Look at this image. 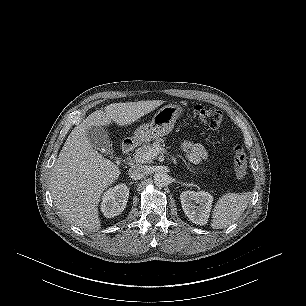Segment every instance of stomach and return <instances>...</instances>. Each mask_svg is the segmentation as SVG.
<instances>
[{
  "mask_svg": "<svg viewBox=\"0 0 306 306\" xmlns=\"http://www.w3.org/2000/svg\"><path fill=\"white\" fill-rule=\"evenodd\" d=\"M181 112L182 107L178 104H169L162 107L150 123L137 128L133 139L137 142H149L169 134Z\"/></svg>",
  "mask_w": 306,
  "mask_h": 306,
  "instance_id": "obj_1",
  "label": "stomach"
}]
</instances>
